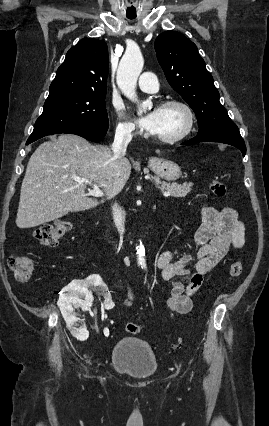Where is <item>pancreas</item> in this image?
<instances>
[{
	"label": "pancreas",
	"mask_w": 269,
	"mask_h": 426,
	"mask_svg": "<svg viewBox=\"0 0 269 426\" xmlns=\"http://www.w3.org/2000/svg\"><path fill=\"white\" fill-rule=\"evenodd\" d=\"M155 184L159 186V188L164 189L166 191H169L171 193V196L180 198L185 197L189 192L192 190V183H186V184H176V183H167L162 182L158 177H152Z\"/></svg>",
	"instance_id": "cf45deb5"
}]
</instances>
